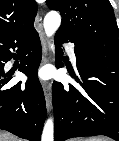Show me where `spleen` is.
Segmentation results:
<instances>
[{
    "mask_svg": "<svg viewBox=\"0 0 119 141\" xmlns=\"http://www.w3.org/2000/svg\"><path fill=\"white\" fill-rule=\"evenodd\" d=\"M83 141H106V140L99 138V137H90V138H87Z\"/></svg>",
    "mask_w": 119,
    "mask_h": 141,
    "instance_id": "3e777b00",
    "label": "spleen"
}]
</instances>
